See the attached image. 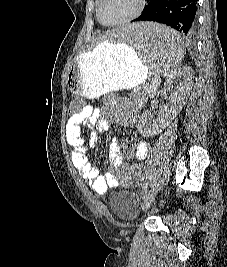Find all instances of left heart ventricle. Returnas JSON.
I'll return each instance as SVG.
<instances>
[{"instance_id":"left-heart-ventricle-1","label":"left heart ventricle","mask_w":227,"mask_h":267,"mask_svg":"<svg viewBox=\"0 0 227 267\" xmlns=\"http://www.w3.org/2000/svg\"><path fill=\"white\" fill-rule=\"evenodd\" d=\"M138 0H103L101 17L106 23L121 20L130 15L137 7Z\"/></svg>"}]
</instances>
